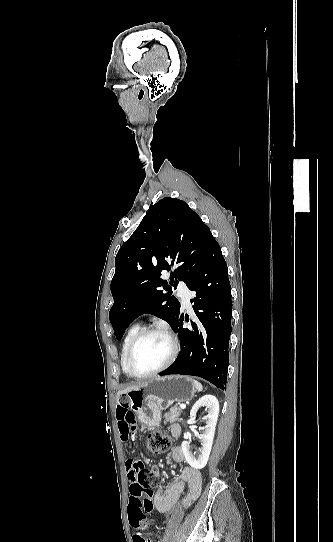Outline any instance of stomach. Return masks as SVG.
<instances>
[{
	"mask_svg": "<svg viewBox=\"0 0 333 542\" xmlns=\"http://www.w3.org/2000/svg\"><path fill=\"white\" fill-rule=\"evenodd\" d=\"M196 390L187 376H163L144 382L139 390L121 394L117 400H127L129 410L138 422L147 428H156L161 422V410L174 402H190Z\"/></svg>",
	"mask_w": 333,
	"mask_h": 542,
	"instance_id": "obj_1",
	"label": "stomach"
}]
</instances>
